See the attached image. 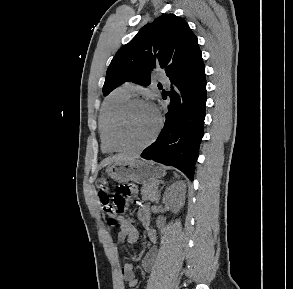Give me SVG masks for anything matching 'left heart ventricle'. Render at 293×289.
Wrapping results in <instances>:
<instances>
[{"label":"left heart ventricle","mask_w":293,"mask_h":289,"mask_svg":"<svg viewBox=\"0 0 293 289\" xmlns=\"http://www.w3.org/2000/svg\"><path fill=\"white\" fill-rule=\"evenodd\" d=\"M156 123L154 111L149 106L134 105L119 123L118 138L128 146L140 145L150 138Z\"/></svg>","instance_id":"left-heart-ventricle-1"}]
</instances>
